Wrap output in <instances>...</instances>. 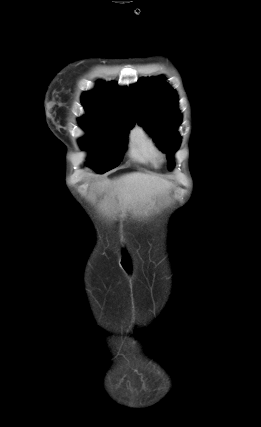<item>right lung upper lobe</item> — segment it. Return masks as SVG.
<instances>
[{
  "instance_id": "obj_1",
  "label": "right lung upper lobe",
  "mask_w": 261,
  "mask_h": 427,
  "mask_svg": "<svg viewBox=\"0 0 261 427\" xmlns=\"http://www.w3.org/2000/svg\"><path fill=\"white\" fill-rule=\"evenodd\" d=\"M82 104L87 111L83 118L135 124L128 90L117 88L115 83H100L94 91L85 92Z\"/></svg>"
}]
</instances>
